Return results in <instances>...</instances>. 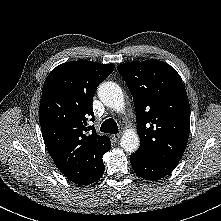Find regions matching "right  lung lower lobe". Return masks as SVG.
I'll return each mask as SVG.
<instances>
[{"label":"right lung lower lobe","mask_w":221,"mask_h":221,"mask_svg":"<svg viewBox=\"0 0 221 221\" xmlns=\"http://www.w3.org/2000/svg\"><path fill=\"white\" fill-rule=\"evenodd\" d=\"M105 169V168H104ZM104 173V170L91 182V183H93V182H95V181H97L98 179H100L101 177H102V174ZM90 183V184H91Z\"/></svg>","instance_id":"right-lung-lower-lobe-1"}]
</instances>
